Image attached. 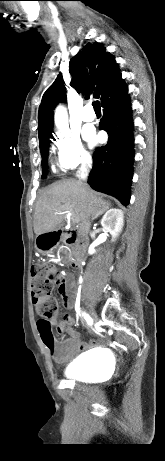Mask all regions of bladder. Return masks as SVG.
<instances>
[{
  "mask_svg": "<svg viewBox=\"0 0 165 461\" xmlns=\"http://www.w3.org/2000/svg\"><path fill=\"white\" fill-rule=\"evenodd\" d=\"M108 353H85L73 361L65 370V376L76 381H91L99 378L107 366Z\"/></svg>",
  "mask_w": 165,
  "mask_h": 461,
  "instance_id": "obj_1",
  "label": "bladder"
}]
</instances>
